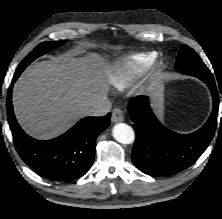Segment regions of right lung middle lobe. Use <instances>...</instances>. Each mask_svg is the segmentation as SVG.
Wrapping results in <instances>:
<instances>
[{
    "mask_svg": "<svg viewBox=\"0 0 222 219\" xmlns=\"http://www.w3.org/2000/svg\"><path fill=\"white\" fill-rule=\"evenodd\" d=\"M64 42L62 41H54V42H43L39 44L18 66L16 70V75L19 76L21 72L26 68V66L31 63L34 59L37 57L43 55L49 50H52L60 45H62Z\"/></svg>",
    "mask_w": 222,
    "mask_h": 219,
    "instance_id": "1",
    "label": "right lung middle lobe"
}]
</instances>
